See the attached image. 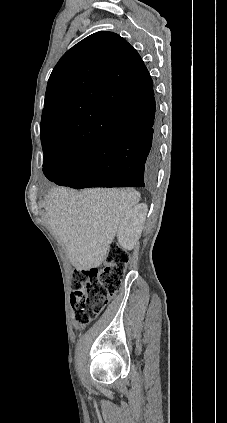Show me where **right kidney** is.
<instances>
[{"label":"right kidney","instance_id":"ca27d5eb","mask_svg":"<svg viewBox=\"0 0 227 423\" xmlns=\"http://www.w3.org/2000/svg\"><path fill=\"white\" fill-rule=\"evenodd\" d=\"M147 211L146 204H137L132 210L127 211L122 219L118 227L117 239L124 249L135 247L144 227Z\"/></svg>","mask_w":227,"mask_h":423}]
</instances>
